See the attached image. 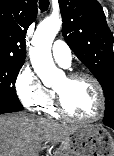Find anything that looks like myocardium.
Here are the masks:
<instances>
[{"label":"myocardium","instance_id":"myocardium-1","mask_svg":"<svg viewBox=\"0 0 114 156\" xmlns=\"http://www.w3.org/2000/svg\"><path fill=\"white\" fill-rule=\"evenodd\" d=\"M66 78L71 81L79 79V78L89 79L93 83V85L97 91L98 110H97L96 114L92 117H88V118L76 117V116L70 114L66 110V108L64 106V102H63V97L60 94V92H58L57 90H54L55 98H56L55 107H56L57 113L65 119H68V120L74 121V122H79V123H91V122H95L98 119H100L101 116L103 115V112L105 109V95H104V91H103V88H102L99 80L94 75H92L88 72H84V71H77V72L70 73L69 75L66 76Z\"/></svg>","mask_w":114,"mask_h":156}]
</instances>
